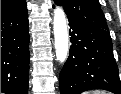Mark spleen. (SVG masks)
Segmentation results:
<instances>
[{"mask_svg":"<svg viewBox=\"0 0 121 94\" xmlns=\"http://www.w3.org/2000/svg\"><path fill=\"white\" fill-rule=\"evenodd\" d=\"M91 94H105V92H103V91H94Z\"/></svg>","mask_w":121,"mask_h":94,"instance_id":"spleen-1","label":"spleen"}]
</instances>
